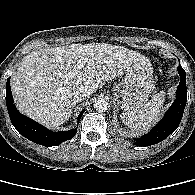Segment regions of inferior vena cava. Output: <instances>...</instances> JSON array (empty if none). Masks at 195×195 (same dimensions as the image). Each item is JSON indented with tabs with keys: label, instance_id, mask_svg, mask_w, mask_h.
Returning <instances> with one entry per match:
<instances>
[{
	"label": "inferior vena cava",
	"instance_id": "inferior-vena-cava-1",
	"mask_svg": "<svg viewBox=\"0 0 195 195\" xmlns=\"http://www.w3.org/2000/svg\"><path fill=\"white\" fill-rule=\"evenodd\" d=\"M90 94H91L90 90L84 87H80L74 90L73 92L74 98L77 102L82 101L83 99L89 97Z\"/></svg>",
	"mask_w": 195,
	"mask_h": 195
}]
</instances>
